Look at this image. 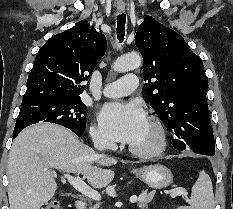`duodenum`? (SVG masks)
<instances>
[{
	"mask_svg": "<svg viewBox=\"0 0 233 209\" xmlns=\"http://www.w3.org/2000/svg\"><path fill=\"white\" fill-rule=\"evenodd\" d=\"M75 208L76 209H86V203L84 200H76L75 201Z\"/></svg>",
	"mask_w": 233,
	"mask_h": 209,
	"instance_id": "1",
	"label": "duodenum"
}]
</instances>
